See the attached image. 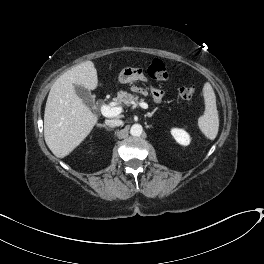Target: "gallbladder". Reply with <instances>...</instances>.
<instances>
[{
	"label": "gallbladder",
	"instance_id": "gallbladder-1",
	"mask_svg": "<svg viewBox=\"0 0 264 264\" xmlns=\"http://www.w3.org/2000/svg\"><path fill=\"white\" fill-rule=\"evenodd\" d=\"M74 87H75L76 94L82 99L83 103L88 107H92L95 99L91 95L90 91L80 85H75Z\"/></svg>",
	"mask_w": 264,
	"mask_h": 264
}]
</instances>
